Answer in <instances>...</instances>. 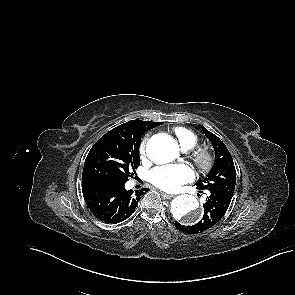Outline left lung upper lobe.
<instances>
[{
	"instance_id": "left-lung-upper-lobe-1",
	"label": "left lung upper lobe",
	"mask_w": 295,
	"mask_h": 295,
	"mask_svg": "<svg viewBox=\"0 0 295 295\" xmlns=\"http://www.w3.org/2000/svg\"><path fill=\"white\" fill-rule=\"evenodd\" d=\"M203 132L212 142L215 150V164L207 178L196 183L199 190H207L210 193H222L233 196L236 184V170L225 144L213 133L202 126Z\"/></svg>"
}]
</instances>
